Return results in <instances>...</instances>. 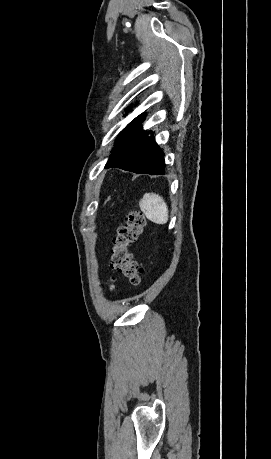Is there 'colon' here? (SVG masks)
Returning a JSON list of instances; mask_svg holds the SVG:
<instances>
[{
    "instance_id": "5ec220e1",
    "label": "colon",
    "mask_w": 271,
    "mask_h": 459,
    "mask_svg": "<svg viewBox=\"0 0 271 459\" xmlns=\"http://www.w3.org/2000/svg\"><path fill=\"white\" fill-rule=\"evenodd\" d=\"M145 224L144 215L140 211L132 210L125 217L123 225L113 239L110 266L133 285L140 283L143 269L135 260L130 249L142 235ZM113 283L114 278H109L108 287L112 288Z\"/></svg>"
}]
</instances>
